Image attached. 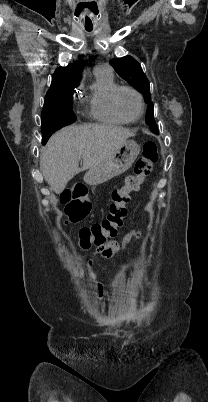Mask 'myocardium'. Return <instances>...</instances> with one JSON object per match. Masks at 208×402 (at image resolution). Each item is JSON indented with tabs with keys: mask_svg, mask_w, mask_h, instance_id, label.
Returning a JSON list of instances; mask_svg holds the SVG:
<instances>
[{
	"mask_svg": "<svg viewBox=\"0 0 208 402\" xmlns=\"http://www.w3.org/2000/svg\"><path fill=\"white\" fill-rule=\"evenodd\" d=\"M122 91H130L137 96L139 103H140V112L137 117L129 118L120 112L118 105H117V98H118V95ZM111 108H112V111L114 112V114L120 120H122L126 123H134V122H137L139 119H141V117L143 116L144 110H145V102H144V98H143L142 94L139 91H137L136 89H134L130 86H118L117 89L113 92L112 97H111Z\"/></svg>",
	"mask_w": 208,
	"mask_h": 402,
	"instance_id": "obj_1",
	"label": "myocardium"
}]
</instances>
